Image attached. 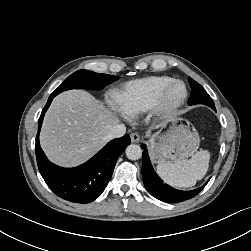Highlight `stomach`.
Here are the masks:
<instances>
[{
	"label": "stomach",
	"instance_id": "obj_1",
	"mask_svg": "<svg viewBox=\"0 0 251 251\" xmlns=\"http://www.w3.org/2000/svg\"><path fill=\"white\" fill-rule=\"evenodd\" d=\"M197 131L183 118L165 122L149 137L152 160L155 163H175L193 155L199 147Z\"/></svg>",
	"mask_w": 251,
	"mask_h": 251
}]
</instances>
